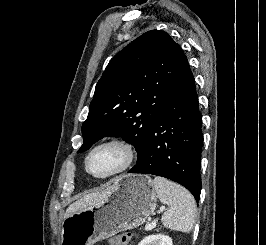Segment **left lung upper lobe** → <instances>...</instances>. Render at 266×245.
I'll list each match as a JSON object with an SVG mask.
<instances>
[{
    "label": "left lung upper lobe",
    "instance_id": "1",
    "mask_svg": "<svg viewBox=\"0 0 266 245\" xmlns=\"http://www.w3.org/2000/svg\"><path fill=\"white\" fill-rule=\"evenodd\" d=\"M187 65L180 45L161 30L144 33L118 52L96 85L78 153L105 136H121L134 145L139 161L150 126Z\"/></svg>",
    "mask_w": 266,
    "mask_h": 245
}]
</instances>
